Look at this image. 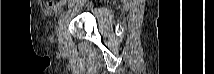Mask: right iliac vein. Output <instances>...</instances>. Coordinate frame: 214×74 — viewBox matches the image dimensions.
I'll return each mask as SVG.
<instances>
[{"mask_svg":"<svg viewBox=\"0 0 214 74\" xmlns=\"http://www.w3.org/2000/svg\"><path fill=\"white\" fill-rule=\"evenodd\" d=\"M58 33H59L60 41L62 42L65 38V20H63L59 25Z\"/></svg>","mask_w":214,"mask_h":74,"instance_id":"1","label":"right iliac vein"}]
</instances>
